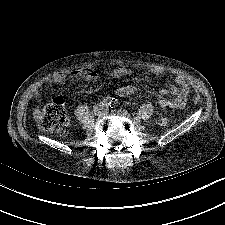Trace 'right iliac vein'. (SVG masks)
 <instances>
[{"instance_id": "63e3f726", "label": "right iliac vein", "mask_w": 225, "mask_h": 225, "mask_svg": "<svg viewBox=\"0 0 225 225\" xmlns=\"http://www.w3.org/2000/svg\"><path fill=\"white\" fill-rule=\"evenodd\" d=\"M101 112H102V106L99 105V106L95 107V109H94L95 115H100Z\"/></svg>"}]
</instances>
